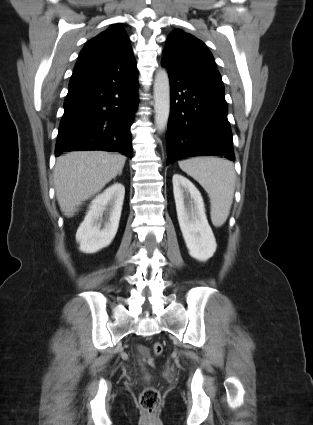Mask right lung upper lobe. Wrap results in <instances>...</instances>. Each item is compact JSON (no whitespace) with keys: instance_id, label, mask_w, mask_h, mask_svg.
I'll return each instance as SVG.
<instances>
[{"instance_id":"1","label":"right lung upper lobe","mask_w":313,"mask_h":425,"mask_svg":"<svg viewBox=\"0 0 313 425\" xmlns=\"http://www.w3.org/2000/svg\"><path fill=\"white\" fill-rule=\"evenodd\" d=\"M136 65L129 38L121 25H111L92 38L80 52L75 68Z\"/></svg>"}]
</instances>
